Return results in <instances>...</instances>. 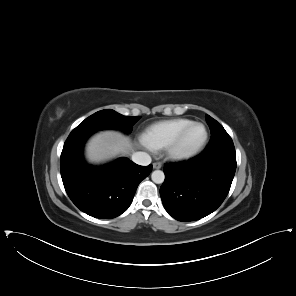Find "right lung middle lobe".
Listing matches in <instances>:
<instances>
[{
	"label": "right lung middle lobe",
	"mask_w": 296,
	"mask_h": 296,
	"mask_svg": "<svg viewBox=\"0 0 296 296\" xmlns=\"http://www.w3.org/2000/svg\"><path fill=\"white\" fill-rule=\"evenodd\" d=\"M138 119L139 116H124L114 110L105 109L86 118L73 132H93L113 128L130 133Z\"/></svg>",
	"instance_id": "dd1d6c3e"
}]
</instances>
